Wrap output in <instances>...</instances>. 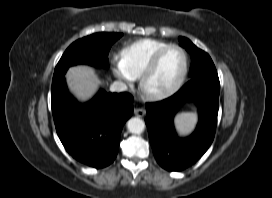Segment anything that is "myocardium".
<instances>
[{"instance_id": "1", "label": "myocardium", "mask_w": 272, "mask_h": 198, "mask_svg": "<svg viewBox=\"0 0 272 198\" xmlns=\"http://www.w3.org/2000/svg\"><path fill=\"white\" fill-rule=\"evenodd\" d=\"M171 49H178L182 52L183 57H184V67H183V71L181 73V76L179 77V79L177 80V82L170 87L169 89L165 90V91H160V92H150L147 90L146 88V82L148 80V78L153 74V72L156 70V68L158 67V64L161 60V58L164 56V54L166 52H168ZM188 71H189V57L188 54L186 52V50L179 46V45H175V44H169L168 46L160 49L150 60V62L148 63V65L145 67V69L143 70V72L140 75V80H139V87L141 92L143 93V95L149 99L152 100H161V99H165L168 98L172 95H174L176 92H178L180 90V88L183 86L187 75H188Z\"/></svg>"}]
</instances>
